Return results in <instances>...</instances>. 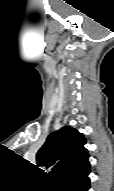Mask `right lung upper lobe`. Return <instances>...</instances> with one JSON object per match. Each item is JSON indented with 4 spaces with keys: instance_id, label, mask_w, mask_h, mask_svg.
Masks as SVG:
<instances>
[{
    "instance_id": "obj_1",
    "label": "right lung upper lobe",
    "mask_w": 114,
    "mask_h": 191,
    "mask_svg": "<svg viewBox=\"0 0 114 191\" xmlns=\"http://www.w3.org/2000/svg\"><path fill=\"white\" fill-rule=\"evenodd\" d=\"M86 139L78 130L64 126L51 133L38 150V166L52 167L53 178L60 183L67 177L90 169Z\"/></svg>"
}]
</instances>
